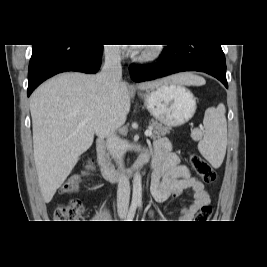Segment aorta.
Here are the masks:
<instances>
[{
	"label": "aorta",
	"mask_w": 267,
	"mask_h": 267,
	"mask_svg": "<svg viewBox=\"0 0 267 267\" xmlns=\"http://www.w3.org/2000/svg\"><path fill=\"white\" fill-rule=\"evenodd\" d=\"M133 201L140 202L142 200V178L140 173L137 171L133 178Z\"/></svg>",
	"instance_id": "obj_1"
}]
</instances>
